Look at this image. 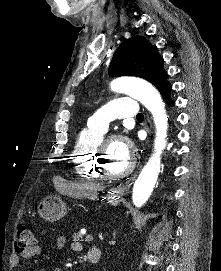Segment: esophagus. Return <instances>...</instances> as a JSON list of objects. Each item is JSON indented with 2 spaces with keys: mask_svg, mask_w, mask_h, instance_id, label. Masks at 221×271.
<instances>
[{
  "mask_svg": "<svg viewBox=\"0 0 221 271\" xmlns=\"http://www.w3.org/2000/svg\"><path fill=\"white\" fill-rule=\"evenodd\" d=\"M133 179H134V177L130 181L126 182L124 186L116 188L115 191L118 193H124V191H126L130 187L131 181Z\"/></svg>",
  "mask_w": 221,
  "mask_h": 271,
  "instance_id": "1",
  "label": "esophagus"
}]
</instances>
